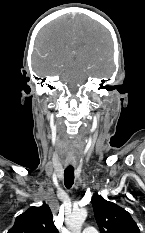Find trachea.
<instances>
[{
  "label": "trachea",
  "instance_id": "trachea-1",
  "mask_svg": "<svg viewBox=\"0 0 145 233\" xmlns=\"http://www.w3.org/2000/svg\"><path fill=\"white\" fill-rule=\"evenodd\" d=\"M74 183V168H66L64 171V184L70 189Z\"/></svg>",
  "mask_w": 145,
  "mask_h": 233
}]
</instances>
